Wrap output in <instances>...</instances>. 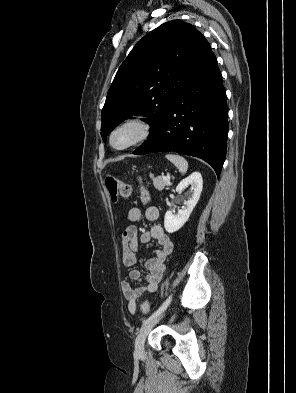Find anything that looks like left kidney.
Masks as SVG:
<instances>
[{
    "mask_svg": "<svg viewBox=\"0 0 296 393\" xmlns=\"http://www.w3.org/2000/svg\"><path fill=\"white\" fill-rule=\"evenodd\" d=\"M189 185L193 189V194L184 201L182 209L178 210L177 215H173L171 211H167L165 214L164 227L168 233L178 231L187 222L196 206L203 188V179L199 172H193L187 178L183 179L176 187V191L181 193Z\"/></svg>",
    "mask_w": 296,
    "mask_h": 393,
    "instance_id": "left-kidney-1",
    "label": "left kidney"
}]
</instances>
